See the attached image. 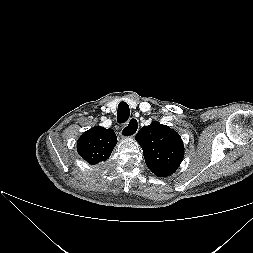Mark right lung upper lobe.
<instances>
[{"label": "right lung upper lobe", "instance_id": "right-lung-upper-lobe-1", "mask_svg": "<svg viewBox=\"0 0 253 253\" xmlns=\"http://www.w3.org/2000/svg\"><path fill=\"white\" fill-rule=\"evenodd\" d=\"M117 137L112 129L94 127L84 132L77 142L79 155L89 164L106 161L115 145Z\"/></svg>", "mask_w": 253, "mask_h": 253}]
</instances>
